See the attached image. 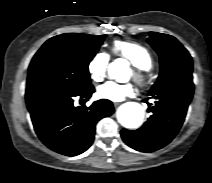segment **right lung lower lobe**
Instances as JSON below:
<instances>
[{
    "label": "right lung lower lobe",
    "instance_id": "1",
    "mask_svg": "<svg viewBox=\"0 0 212 183\" xmlns=\"http://www.w3.org/2000/svg\"><path fill=\"white\" fill-rule=\"evenodd\" d=\"M93 92V85L83 90L27 85V108L36 134L47 147L66 156H75L91 146L96 123L114 112L112 102L105 99L95 101L90 107L74 106V97L88 100Z\"/></svg>",
    "mask_w": 212,
    "mask_h": 183
}]
</instances>
